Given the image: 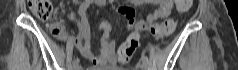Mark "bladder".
<instances>
[{"label":"bladder","mask_w":238,"mask_h":70,"mask_svg":"<svg viewBox=\"0 0 238 70\" xmlns=\"http://www.w3.org/2000/svg\"><path fill=\"white\" fill-rule=\"evenodd\" d=\"M89 70H125V69L119 67H107L104 69H89Z\"/></svg>","instance_id":"obj_1"}]
</instances>
